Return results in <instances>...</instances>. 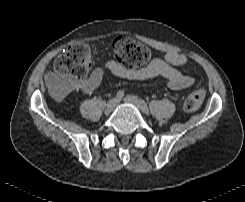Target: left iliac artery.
<instances>
[{
  "label": "left iliac artery",
  "mask_w": 245,
  "mask_h": 202,
  "mask_svg": "<svg viewBox=\"0 0 245 202\" xmlns=\"http://www.w3.org/2000/svg\"><path fill=\"white\" fill-rule=\"evenodd\" d=\"M140 102H141V107H142L143 112L146 114H149V109L145 101L141 99Z\"/></svg>",
  "instance_id": "left-iliac-artery-1"
}]
</instances>
